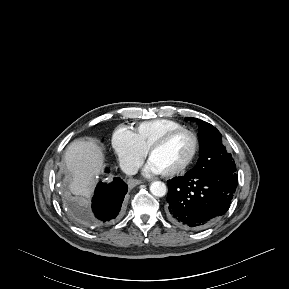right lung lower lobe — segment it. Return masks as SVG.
Masks as SVG:
<instances>
[{
  "instance_id": "obj_1",
  "label": "right lung lower lobe",
  "mask_w": 289,
  "mask_h": 289,
  "mask_svg": "<svg viewBox=\"0 0 289 289\" xmlns=\"http://www.w3.org/2000/svg\"><path fill=\"white\" fill-rule=\"evenodd\" d=\"M106 171L109 172L108 169ZM127 190V184L119 177H115L109 184L100 182L92 199L88 224L103 227L116 222L121 216V206Z\"/></svg>"
}]
</instances>
